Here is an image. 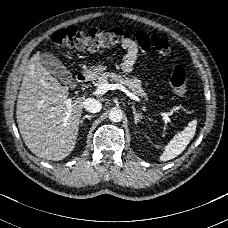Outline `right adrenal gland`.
I'll use <instances>...</instances> for the list:
<instances>
[{"label":"right adrenal gland","mask_w":228,"mask_h":228,"mask_svg":"<svg viewBox=\"0 0 228 228\" xmlns=\"http://www.w3.org/2000/svg\"><path fill=\"white\" fill-rule=\"evenodd\" d=\"M92 118H93V116H90V115L83 116V119H80V122H81L80 126L83 127V123L86 119L91 122Z\"/></svg>","instance_id":"obj_1"}]
</instances>
